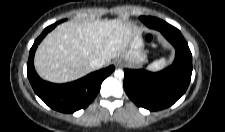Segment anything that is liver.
I'll list each match as a JSON object with an SVG mask.
<instances>
[{
    "label": "liver",
    "instance_id": "6515ba94",
    "mask_svg": "<svg viewBox=\"0 0 225 132\" xmlns=\"http://www.w3.org/2000/svg\"><path fill=\"white\" fill-rule=\"evenodd\" d=\"M137 33L121 19L62 23L38 46L35 69L42 79L53 83L79 79L92 71L93 59L102 58L108 65L119 57Z\"/></svg>",
    "mask_w": 225,
    "mask_h": 132
}]
</instances>
